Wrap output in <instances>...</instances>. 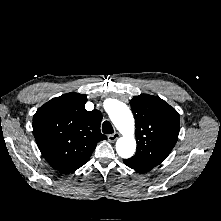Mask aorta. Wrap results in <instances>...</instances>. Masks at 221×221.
I'll use <instances>...</instances> for the list:
<instances>
[{
	"mask_svg": "<svg viewBox=\"0 0 221 221\" xmlns=\"http://www.w3.org/2000/svg\"><path fill=\"white\" fill-rule=\"evenodd\" d=\"M108 115L122 134L116 142V151L122 158H130L136 150V140L134 137L135 123L132 112L127 105L114 100L108 109Z\"/></svg>",
	"mask_w": 221,
	"mask_h": 221,
	"instance_id": "obj_1",
	"label": "aorta"
}]
</instances>
